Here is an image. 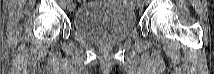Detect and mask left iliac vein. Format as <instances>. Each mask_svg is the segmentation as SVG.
Here are the masks:
<instances>
[{"label": "left iliac vein", "mask_w": 214, "mask_h": 74, "mask_svg": "<svg viewBox=\"0 0 214 74\" xmlns=\"http://www.w3.org/2000/svg\"><path fill=\"white\" fill-rule=\"evenodd\" d=\"M136 5H137L138 8H141L142 7V2L141 1H137Z\"/></svg>", "instance_id": "left-iliac-vein-1"}]
</instances>
